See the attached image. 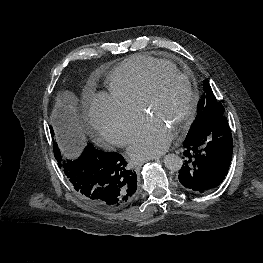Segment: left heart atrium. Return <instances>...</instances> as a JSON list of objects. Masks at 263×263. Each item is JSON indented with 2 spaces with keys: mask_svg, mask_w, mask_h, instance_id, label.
Returning a JSON list of instances; mask_svg holds the SVG:
<instances>
[{
  "mask_svg": "<svg viewBox=\"0 0 263 263\" xmlns=\"http://www.w3.org/2000/svg\"><path fill=\"white\" fill-rule=\"evenodd\" d=\"M173 138L172 131L155 118L147 117L132 138L129 154L135 160L163 153Z\"/></svg>",
  "mask_w": 263,
  "mask_h": 263,
  "instance_id": "obj_1",
  "label": "left heart atrium"
}]
</instances>
